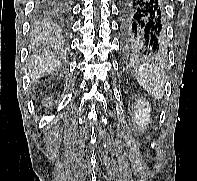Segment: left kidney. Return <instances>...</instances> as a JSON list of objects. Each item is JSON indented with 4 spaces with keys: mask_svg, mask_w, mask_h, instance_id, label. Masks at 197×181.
Instances as JSON below:
<instances>
[{
    "mask_svg": "<svg viewBox=\"0 0 197 181\" xmlns=\"http://www.w3.org/2000/svg\"><path fill=\"white\" fill-rule=\"evenodd\" d=\"M135 108L136 110L134 111L133 121L138 125V130L143 131L151 122L149 115L151 111L150 104L147 100L138 98L136 100Z\"/></svg>",
    "mask_w": 197,
    "mask_h": 181,
    "instance_id": "obj_1",
    "label": "left kidney"
}]
</instances>
